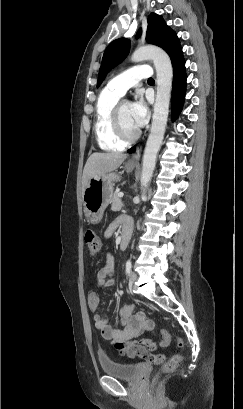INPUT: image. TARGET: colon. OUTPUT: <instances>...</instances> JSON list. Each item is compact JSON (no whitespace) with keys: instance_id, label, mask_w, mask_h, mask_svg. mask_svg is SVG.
I'll return each instance as SVG.
<instances>
[{"instance_id":"1","label":"colon","mask_w":243,"mask_h":409,"mask_svg":"<svg viewBox=\"0 0 243 409\" xmlns=\"http://www.w3.org/2000/svg\"><path fill=\"white\" fill-rule=\"evenodd\" d=\"M85 243L88 246L89 252L92 255H96L101 249V242L99 236L91 229H87L85 232ZM99 302V296L96 292H91L88 295V304L90 307H95ZM161 346L166 347L170 342V334L165 330H160ZM179 346L183 347V342L179 340ZM183 359L182 354L172 355L165 363L162 365L161 372L168 373L177 368Z\"/></svg>"}]
</instances>
